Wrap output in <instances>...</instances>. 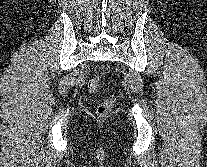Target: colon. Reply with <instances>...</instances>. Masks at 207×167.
Wrapping results in <instances>:
<instances>
[{
	"label": "colon",
	"mask_w": 207,
	"mask_h": 167,
	"mask_svg": "<svg viewBox=\"0 0 207 167\" xmlns=\"http://www.w3.org/2000/svg\"><path fill=\"white\" fill-rule=\"evenodd\" d=\"M102 88V79L99 76L92 77L88 82V89L91 93H100ZM113 108V101L112 99L108 98L102 103H100L97 108L96 112L98 115H106L111 111Z\"/></svg>",
	"instance_id": "5ec220e1"
}]
</instances>
